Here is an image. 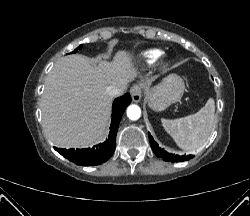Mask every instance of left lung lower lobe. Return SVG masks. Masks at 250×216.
<instances>
[{
  "instance_id": "left-lung-lower-lobe-1",
  "label": "left lung lower lobe",
  "mask_w": 250,
  "mask_h": 216,
  "mask_svg": "<svg viewBox=\"0 0 250 216\" xmlns=\"http://www.w3.org/2000/svg\"><path fill=\"white\" fill-rule=\"evenodd\" d=\"M148 135H149V141H150L151 148L157 157H161L163 160L169 161V162H179V161H185V160L193 158V155L179 156V155H175V154H171V153L166 152L164 149H161L158 146V144L154 141V139L150 135V133Z\"/></svg>"
}]
</instances>
